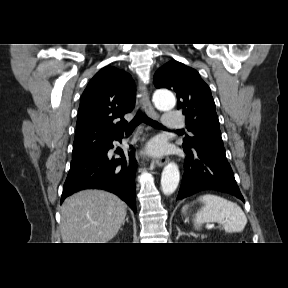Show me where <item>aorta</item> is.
<instances>
[{
	"instance_id": "762f6f07",
	"label": "aorta",
	"mask_w": 288,
	"mask_h": 288,
	"mask_svg": "<svg viewBox=\"0 0 288 288\" xmlns=\"http://www.w3.org/2000/svg\"><path fill=\"white\" fill-rule=\"evenodd\" d=\"M153 101L157 109L168 111L174 108L176 100L174 95L168 91H157L153 96ZM180 180V172L177 164L168 163L162 172L161 189L165 195L174 193Z\"/></svg>"
}]
</instances>
